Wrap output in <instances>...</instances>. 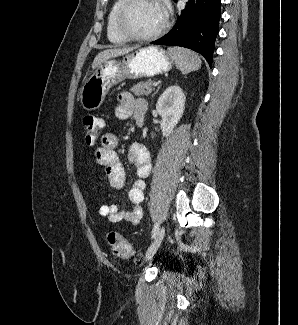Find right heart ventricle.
Segmentation results:
<instances>
[{
  "mask_svg": "<svg viewBox=\"0 0 298 325\" xmlns=\"http://www.w3.org/2000/svg\"><path fill=\"white\" fill-rule=\"evenodd\" d=\"M125 1H116L109 10L106 22V34L108 41L114 46H124L129 41L122 37L116 30V17L118 12Z\"/></svg>",
  "mask_w": 298,
  "mask_h": 325,
  "instance_id": "1",
  "label": "right heart ventricle"
}]
</instances>
